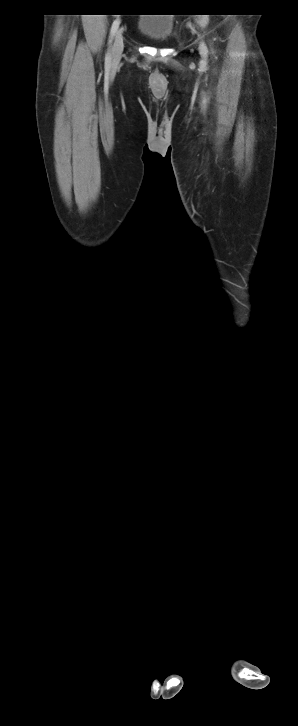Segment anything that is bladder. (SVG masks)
Listing matches in <instances>:
<instances>
[{"label": "bladder", "mask_w": 298, "mask_h": 726, "mask_svg": "<svg viewBox=\"0 0 298 726\" xmlns=\"http://www.w3.org/2000/svg\"><path fill=\"white\" fill-rule=\"evenodd\" d=\"M173 27L174 19L171 16L152 14L142 17L138 22L137 29L148 39L156 43H163L170 38Z\"/></svg>", "instance_id": "obj_1"}]
</instances>
